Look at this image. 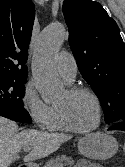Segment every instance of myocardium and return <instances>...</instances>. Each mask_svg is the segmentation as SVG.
I'll use <instances>...</instances> for the list:
<instances>
[{"label": "myocardium", "mask_w": 125, "mask_h": 167, "mask_svg": "<svg viewBox=\"0 0 125 167\" xmlns=\"http://www.w3.org/2000/svg\"><path fill=\"white\" fill-rule=\"evenodd\" d=\"M66 92L70 97H74V96H77L79 94H87L88 96H90L94 100V102L97 106L98 119H97V122L94 126L86 128V129H81V128L76 127L72 123V121L70 120V117H69V115L64 107L56 105L58 112L60 114V118H61L62 123L65 126V128L71 132L78 133V134H86V133H90V132L97 130L101 126L102 119H103L102 103H101L99 97L97 96V94L94 91H92L90 88L85 87V86H72V87H69Z\"/></svg>", "instance_id": "f54148a6"}]
</instances>
